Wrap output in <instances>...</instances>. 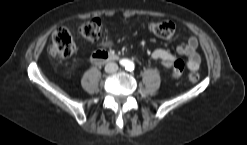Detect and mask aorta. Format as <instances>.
<instances>
[{"label": "aorta", "instance_id": "1", "mask_svg": "<svg viewBox=\"0 0 247 145\" xmlns=\"http://www.w3.org/2000/svg\"><path fill=\"white\" fill-rule=\"evenodd\" d=\"M125 68L133 69L134 68V63L132 61H127V63L125 64Z\"/></svg>", "mask_w": 247, "mask_h": 145}]
</instances>
